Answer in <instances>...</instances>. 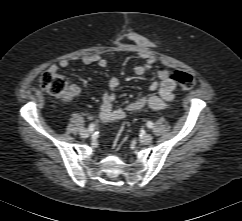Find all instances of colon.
I'll return each mask as SVG.
<instances>
[{
	"label": "colon",
	"mask_w": 242,
	"mask_h": 221,
	"mask_svg": "<svg viewBox=\"0 0 242 221\" xmlns=\"http://www.w3.org/2000/svg\"><path fill=\"white\" fill-rule=\"evenodd\" d=\"M169 78L177 82L184 90H190L195 86V78L186 72L174 71L169 73ZM40 87L47 93L62 98L68 99L70 93L68 91L67 80L61 74L47 70L43 72L39 79Z\"/></svg>",
	"instance_id": "5ec220e1"
}]
</instances>
